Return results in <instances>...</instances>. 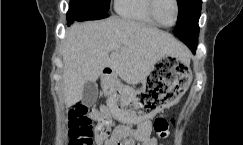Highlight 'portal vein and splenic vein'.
I'll return each instance as SVG.
<instances>
[{
  "mask_svg": "<svg viewBox=\"0 0 243 145\" xmlns=\"http://www.w3.org/2000/svg\"><path fill=\"white\" fill-rule=\"evenodd\" d=\"M113 47H114V48H116V47H117V45H114Z\"/></svg>",
  "mask_w": 243,
  "mask_h": 145,
  "instance_id": "obj_1",
  "label": "portal vein and splenic vein"
}]
</instances>
